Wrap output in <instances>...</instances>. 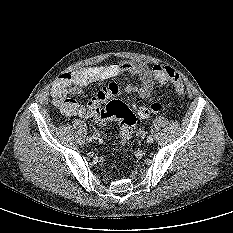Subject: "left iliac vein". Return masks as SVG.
I'll list each match as a JSON object with an SVG mask.
<instances>
[{
  "instance_id": "4c4485c4",
  "label": "left iliac vein",
  "mask_w": 233,
  "mask_h": 233,
  "mask_svg": "<svg viewBox=\"0 0 233 233\" xmlns=\"http://www.w3.org/2000/svg\"><path fill=\"white\" fill-rule=\"evenodd\" d=\"M139 138H140L141 140H144V139L146 138V132H145L144 130H141V131L139 132Z\"/></svg>"
}]
</instances>
